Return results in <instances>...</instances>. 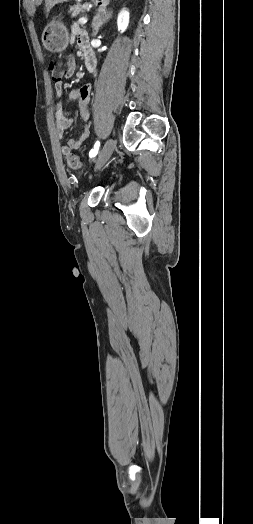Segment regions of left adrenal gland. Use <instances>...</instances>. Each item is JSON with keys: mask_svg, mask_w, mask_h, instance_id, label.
<instances>
[{"mask_svg": "<svg viewBox=\"0 0 253 524\" xmlns=\"http://www.w3.org/2000/svg\"><path fill=\"white\" fill-rule=\"evenodd\" d=\"M112 17V11H100L93 19L92 22V28H93V34L92 36H96L98 34L99 28L102 27L103 24H105L110 18Z\"/></svg>", "mask_w": 253, "mask_h": 524, "instance_id": "obj_1", "label": "left adrenal gland"}]
</instances>
